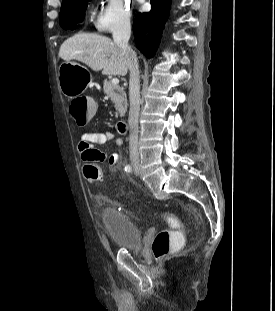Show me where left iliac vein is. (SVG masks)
I'll return each mask as SVG.
<instances>
[{
  "label": "left iliac vein",
  "mask_w": 275,
  "mask_h": 311,
  "mask_svg": "<svg viewBox=\"0 0 275 311\" xmlns=\"http://www.w3.org/2000/svg\"><path fill=\"white\" fill-rule=\"evenodd\" d=\"M134 173L139 174V166L138 165H134Z\"/></svg>",
  "instance_id": "1"
}]
</instances>
